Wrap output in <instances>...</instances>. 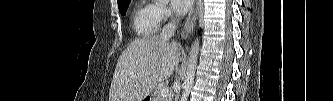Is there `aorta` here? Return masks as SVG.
<instances>
[{
    "label": "aorta",
    "instance_id": "obj_1",
    "mask_svg": "<svg viewBox=\"0 0 333 101\" xmlns=\"http://www.w3.org/2000/svg\"><path fill=\"white\" fill-rule=\"evenodd\" d=\"M198 54H199V40H198V38H196L195 41L193 42L192 46H191L189 56H188V59H187L186 76H185L184 83L182 85L183 92H182V95L180 97V101H187L188 100L191 88H192L193 83H194V77H195V71H196V67H197Z\"/></svg>",
    "mask_w": 333,
    "mask_h": 101
}]
</instances>
